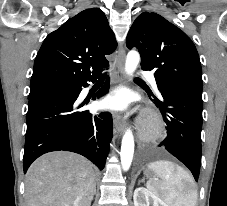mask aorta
Instances as JSON below:
<instances>
[{
	"label": "aorta",
	"instance_id": "762f6f07",
	"mask_svg": "<svg viewBox=\"0 0 227 206\" xmlns=\"http://www.w3.org/2000/svg\"><path fill=\"white\" fill-rule=\"evenodd\" d=\"M140 61V55L137 51H130L127 54L126 61H125V73L129 76L133 75L134 71L136 70ZM134 154V137L132 131L127 129L123 138H122V145H121V165L124 171H127L132 163Z\"/></svg>",
	"mask_w": 227,
	"mask_h": 206
}]
</instances>
